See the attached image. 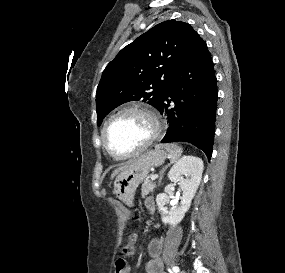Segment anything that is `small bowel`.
<instances>
[{"label":"small bowel","instance_id":"1","mask_svg":"<svg viewBox=\"0 0 285 273\" xmlns=\"http://www.w3.org/2000/svg\"><path fill=\"white\" fill-rule=\"evenodd\" d=\"M145 206L148 211L155 210V202L152 198L145 200ZM162 246L160 241L151 240L148 244V253L150 259L146 263V273H165L163 271V262L161 260Z\"/></svg>","mask_w":285,"mask_h":273}]
</instances>
